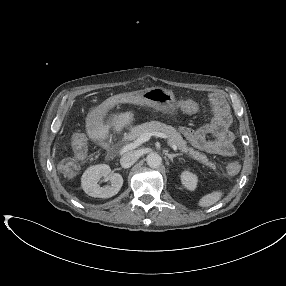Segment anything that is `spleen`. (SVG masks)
Instances as JSON below:
<instances>
[{
  "label": "spleen",
  "instance_id": "spleen-1",
  "mask_svg": "<svg viewBox=\"0 0 286 286\" xmlns=\"http://www.w3.org/2000/svg\"><path fill=\"white\" fill-rule=\"evenodd\" d=\"M223 196L222 191H213L205 196H203L199 202L198 205L201 207H210L214 204H216Z\"/></svg>",
  "mask_w": 286,
  "mask_h": 286
}]
</instances>
